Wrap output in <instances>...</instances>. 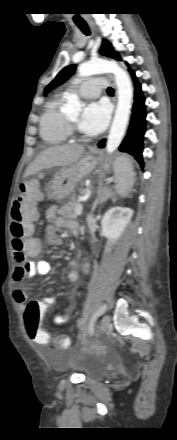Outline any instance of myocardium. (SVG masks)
Wrapping results in <instances>:
<instances>
[{"instance_id": "f54148a6", "label": "myocardium", "mask_w": 177, "mask_h": 440, "mask_svg": "<svg viewBox=\"0 0 177 440\" xmlns=\"http://www.w3.org/2000/svg\"><path fill=\"white\" fill-rule=\"evenodd\" d=\"M66 122H67V125H68V127H69V131H73V132H75V131H76L75 122H73L72 120H70L68 117H66Z\"/></svg>"}]
</instances>
